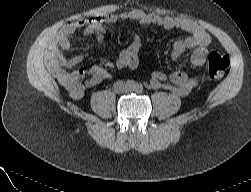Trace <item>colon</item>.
I'll return each instance as SVG.
<instances>
[{"instance_id":"obj_1","label":"colon","mask_w":251,"mask_h":192,"mask_svg":"<svg viewBox=\"0 0 251 192\" xmlns=\"http://www.w3.org/2000/svg\"><path fill=\"white\" fill-rule=\"evenodd\" d=\"M229 61L225 56L211 53L208 58L209 75L213 79L221 78L227 70Z\"/></svg>"}]
</instances>
